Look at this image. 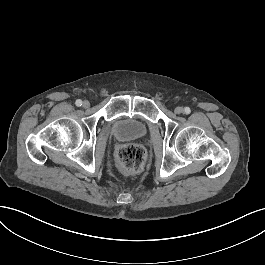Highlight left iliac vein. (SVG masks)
Segmentation results:
<instances>
[{
    "mask_svg": "<svg viewBox=\"0 0 265 265\" xmlns=\"http://www.w3.org/2000/svg\"><path fill=\"white\" fill-rule=\"evenodd\" d=\"M176 114H181L183 112V108L181 106H177L174 110Z\"/></svg>",
    "mask_w": 265,
    "mask_h": 265,
    "instance_id": "obj_1",
    "label": "left iliac vein"
}]
</instances>
